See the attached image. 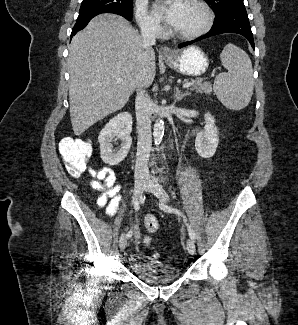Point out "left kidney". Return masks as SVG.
<instances>
[{
	"label": "left kidney",
	"mask_w": 298,
	"mask_h": 325,
	"mask_svg": "<svg viewBox=\"0 0 298 325\" xmlns=\"http://www.w3.org/2000/svg\"><path fill=\"white\" fill-rule=\"evenodd\" d=\"M204 120L205 130L197 132L195 138V148L200 156H203V158H210V156L215 154V150L218 146V128L215 124L216 120L211 112H205Z\"/></svg>",
	"instance_id": "left-kidney-1"
}]
</instances>
